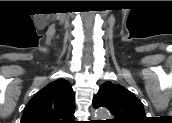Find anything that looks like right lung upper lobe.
<instances>
[{
    "mask_svg": "<svg viewBox=\"0 0 172 123\" xmlns=\"http://www.w3.org/2000/svg\"><path fill=\"white\" fill-rule=\"evenodd\" d=\"M74 92L65 79L55 80L27 103L20 123H74Z\"/></svg>",
    "mask_w": 172,
    "mask_h": 123,
    "instance_id": "right-lung-upper-lobe-1",
    "label": "right lung upper lobe"
}]
</instances>
